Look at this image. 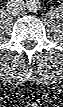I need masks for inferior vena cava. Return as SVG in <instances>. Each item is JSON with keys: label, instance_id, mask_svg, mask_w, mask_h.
<instances>
[{"label": "inferior vena cava", "instance_id": "inferior-vena-cava-1", "mask_svg": "<svg viewBox=\"0 0 63 107\" xmlns=\"http://www.w3.org/2000/svg\"><path fill=\"white\" fill-rule=\"evenodd\" d=\"M7 11L13 15L25 12V4L21 1H10L7 3Z\"/></svg>", "mask_w": 63, "mask_h": 107}]
</instances>
